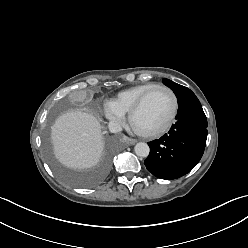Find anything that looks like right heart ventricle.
Here are the masks:
<instances>
[{
    "label": "right heart ventricle",
    "mask_w": 248,
    "mask_h": 248,
    "mask_svg": "<svg viewBox=\"0 0 248 248\" xmlns=\"http://www.w3.org/2000/svg\"><path fill=\"white\" fill-rule=\"evenodd\" d=\"M156 85V83H144L132 86L119 92L110 103L122 115L129 114L140 96Z\"/></svg>",
    "instance_id": "e07e8e85"
}]
</instances>
